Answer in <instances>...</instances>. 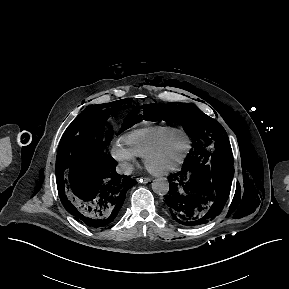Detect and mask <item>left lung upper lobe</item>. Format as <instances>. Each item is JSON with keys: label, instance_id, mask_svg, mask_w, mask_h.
Masks as SVG:
<instances>
[{"label": "left lung upper lobe", "instance_id": "5c2ea615", "mask_svg": "<svg viewBox=\"0 0 289 289\" xmlns=\"http://www.w3.org/2000/svg\"><path fill=\"white\" fill-rule=\"evenodd\" d=\"M144 119L167 121L182 125L190 135L193 145L188 156L208 155L219 168L233 165V155L224 128L213 118L190 103L143 105Z\"/></svg>", "mask_w": 289, "mask_h": 289}]
</instances>
